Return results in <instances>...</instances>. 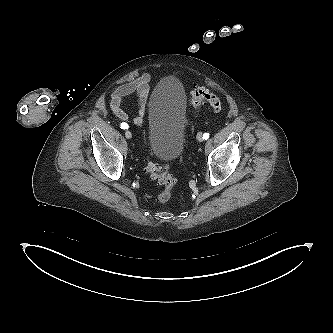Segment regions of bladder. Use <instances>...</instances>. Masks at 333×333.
Returning <instances> with one entry per match:
<instances>
[{
    "label": "bladder",
    "mask_w": 333,
    "mask_h": 333,
    "mask_svg": "<svg viewBox=\"0 0 333 333\" xmlns=\"http://www.w3.org/2000/svg\"><path fill=\"white\" fill-rule=\"evenodd\" d=\"M187 96L175 76L163 77L153 89L147 114V132L154 153L161 159H177L184 149Z\"/></svg>",
    "instance_id": "1"
}]
</instances>
